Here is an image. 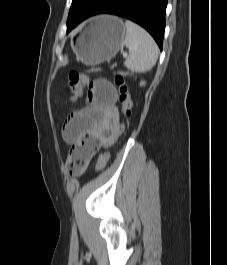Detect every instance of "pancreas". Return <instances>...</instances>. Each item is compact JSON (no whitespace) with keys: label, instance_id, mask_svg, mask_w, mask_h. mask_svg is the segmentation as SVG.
<instances>
[{"label":"pancreas","instance_id":"1","mask_svg":"<svg viewBox=\"0 0 227 265\" xmlns=\"http://www.w3.org/2000/svg\"><path fill=\"white\" fill-rule=\"evenodd\" d=\"M119 74H121V75H127V73H124V72H119Z\"/></svg>","mask_w":227,"mask_h":265}]
</instances>
